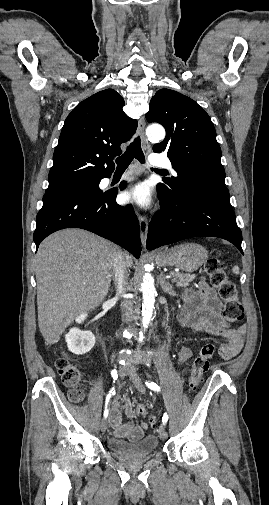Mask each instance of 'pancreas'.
I'll list each match as a JSON object with an SVG mask.
<instances>
[{"label":"pancreas","mask_w":269,"mask_h":505,"mask_svg":"<svg viewBox=\"0 0 269 505\" xmlns=\"http://www.w3.org/2000/svg\"><path fill=\"white\" fill-rule=\"evenodd\" d=\"M173 277L177 287H187L195 279V275L184 273H173Z\"/></svg>","instance_id":"obj_1"}]
</instances>
